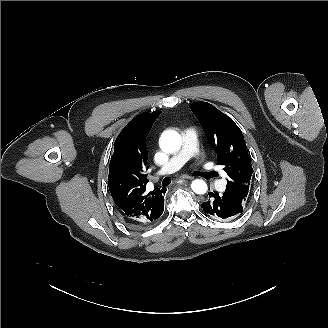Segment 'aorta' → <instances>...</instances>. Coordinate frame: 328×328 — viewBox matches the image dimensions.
Segmentation results:
<instances>
[{
	"instance_id": "obj_1",
	"label": "aorta",
	"mask_w": 328,
	"mask_h": 328,
	"mask_svg": "<svg viewBox=\"0 0 328 328\" xmlns=\"http://www.w3.org/2000/svg\"><path fill=\"white\" fill-rule=\"evenodd\" d=\"M160 144L166 152H175L181 148L182 138L176 131H166L160 137ZM191 188L196 194H205L208 189L207 184L200 179L194 180Z\"/></svg>"
}]
</instances>
